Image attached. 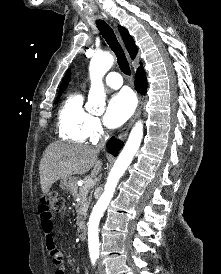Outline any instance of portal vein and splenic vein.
I'll return each mask as SVG.
<instances>
[{"instance_id": "18ae733b", "label": "portal vein and splenic vein", "mask_w": 221, "mask_h": 274, "mask_svg": "<svg viewBox=\"0 0 221 274\" xmlns=\"http://www.w3.org/2000/svg\"><path fill=\"white\" fill-rule=\"evenodd\" d=\"M84 184L86 185V187L90 188L94 185V182L91 178H86Z\"/></svg>"}]
</instances>
